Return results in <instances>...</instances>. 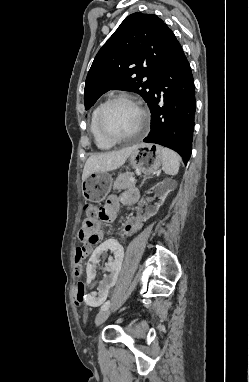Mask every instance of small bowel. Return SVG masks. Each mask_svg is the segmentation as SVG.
<instances>
[{
	"mask_svg": "<svg viewBox=\"0 0 249 382\" xmlns=\"http://www.w3.org/2000/svg\"><path fill=\"white\" fill-rule=\"evenodd\" d=\"M137 200V196L134 194H126L122 196L111 195L106 203L101 207V215L99 219L104 222H111L116 219L118 215L119 205H133ZM100 221L99 220H89L85 219L82 223L81 228L77 233L78 240L83 244L81 248H84L86 252L88 250L95 249V240L97 242L100 240ZM142 225V218L139 215L131 216L127 219L123 227V235L130 236L140 229ZM78 251V248L76 252ZM87 275V274H86ZM75 303L80 305L82 301Z\"/></svg>",
	"mask_w": 249,
	"mask_h": 382,
	"instance_id": "1",
	"label": "small bowel"
}]
</instances>
